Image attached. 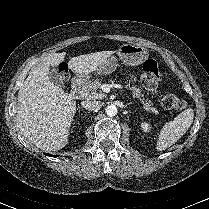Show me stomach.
Instances as JSON below:
<instances>
[{
    "instance_id": "stomach-1",
    "label": "stomach",
    "mask_w": 209,
    "mask_h": 209,
    "mask_svg": "<svg viewBox=\"0 0 209 209\" xmlns=\"http://www.w3.org/2000/svg\"><path fill=\"white\" fill-rule=\"evenodd\" d=\"M118 56L124 64L138 66L148 58L147 48L136 44H123L118 50ZM117 67V59L114 56L107 58L99 65L96 72L99 75H106L114 71Z\"/></svg>"
}]
</instances>
